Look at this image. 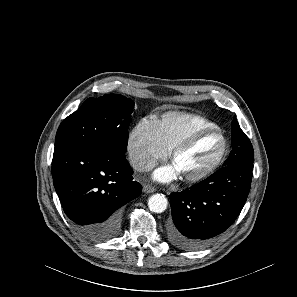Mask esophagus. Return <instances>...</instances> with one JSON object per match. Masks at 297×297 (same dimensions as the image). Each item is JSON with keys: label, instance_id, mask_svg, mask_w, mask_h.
Instances as JSON below:
<instances>
[{"label": "esophagus", "instance_id": "obj_1", "mask_svg": "<svg viewBox=\"0 0 297 297\" xmlns=\"http://www.w3.org/2000/svg\"><path fill=\"white\" fill-rule=\"evenodd\" d=\"M155 191H156V189L150 185L143 186V192H145V193H153Z\"/></svg>", "mask_w": 297, "mask_h": 297}]
</instances>
